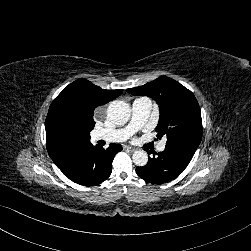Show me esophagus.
Masks as SVG:
<instances>
[{
    "instance_id": "1",
    "label": "esophagus",
    "mask_w": 251,
    "mask_h": 251,
    "mask_svg": "<svg viewBox=\"0 0 251 251\" xmlns=\"http://www.w3.org/2000/svg\"><path fill=\"white\" fill-rule=\"evenodd\" d=\"M125 149L129 150L130 152H134L135 148L131 147V146H125Z\"/></svg>"
}]
</instances>
